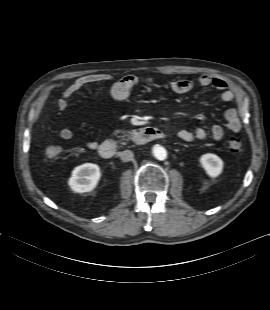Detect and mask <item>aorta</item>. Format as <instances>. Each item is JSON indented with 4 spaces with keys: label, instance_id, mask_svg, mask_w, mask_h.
<instances>
[{
    "label": "aorta",
    "instance_id": "obj_1",
    "mask_svg": "<svg viewBox=\"0 0 270 310\" xmlns=\"http://www.w3.org/2000/svg\"><path fill=\"white\" fill-rule=\"evenodd\" d=\"M153 155L155 156L156 159L158 160H165L167 157V152L164 147L160 145H156L153 148Z\"/></svg>",
    "mask_w": 270,
    "mask_h": 310
}]
</instances>
